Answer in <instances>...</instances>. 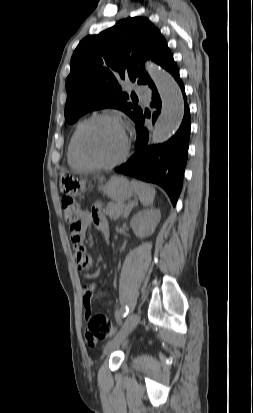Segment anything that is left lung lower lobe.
Returning a JSON list of instances; mask_svg holds the SVG:
<instances>
[{
	"mask_svg": "<svg viewBox=\"0 0 253 413\" xmlns=\"http://www.w3.org/2000/svg\"><path fill=\"white\" fill-rule=\"evenodd\" d=\"M165 69L177 81L184 96V117L178 131L167 142L159 145L148 146L149 133L144 127L145 118L150 114L141 113L136 119L137 142L136 151L123 165L116 167L118 173L130 175L137 179L160 185L168 194L175 206L182 189L183 175L188 157L191 118L189 107L186 104V95L179 70L173 56L168 60ZM152 89L151 107L156 111L152 115L153 123L161 111V99L154 85Z\"/></svg>",
	"mask_w": 253,
	"mask_h": 413,
	"instance_id": "0a47b994",
	"label": "left lung lower lobe"
}]
</instances>
